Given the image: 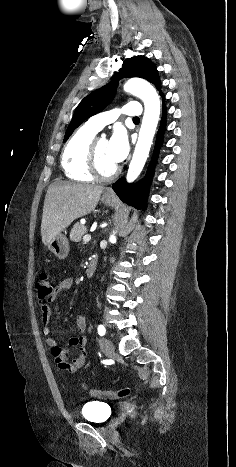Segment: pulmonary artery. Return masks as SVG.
<instances>
[{
  "label": "pulmonary artery",
  "instance_id": "e3ab8cb5",
  "mask_svg": "<svg viewBox=\"0 0 236 467\" xmlns=\"http://www.w3.org/2000/svg\"><path fill=\"white\" fill-rule=\"evenodd\" d=\"M124 114L131 117H137L141 114V107L138 102H131L124 105L122 108H116L101 112L89 118L86 125L90 128L100 131L105 125L115 121L119 115Z\"/></svg>",
  "mask_w": 236,
  "mask_h": 467
}]
</instances>
